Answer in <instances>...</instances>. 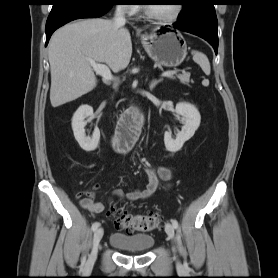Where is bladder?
<instances>
[{"instance_id":"bladder-1","label":"bladder","mask_w":278,"mask_h":278,"mask_svg":"<svg viewBox=\"0 0 278 278\" xmlns=\"http://www.w3.org/2000/svg\"><path fill=\"white\" fill-rule=\"evenodd\" d=\"M154 243V237L147 233L125 234L114 232L109 237V244L112 247L132 252L147 251L154 246Z\"/></svg>"}]
</instances>
